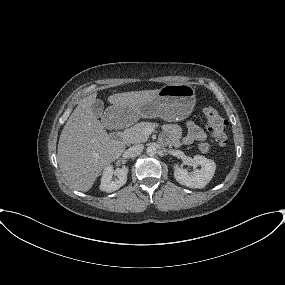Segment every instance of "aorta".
Segmentation results:
<instances>
[{"label": "aorta", "instance_id": "aorta-1", "mask_svg": "<svg viewBox=\"0 0 285 285\" xmlns=\"http://www.w3.org/2000/svg\"><path fill=\"white\" fill-rule=\"evenodd\" d=\"M146 153H147V155H149V156H154V155H156V153H157V149H156L155 146L150 145V146L147 147Z\"/></svg>", "mask_w": 285, "mask_h": 285}]
</instances>
